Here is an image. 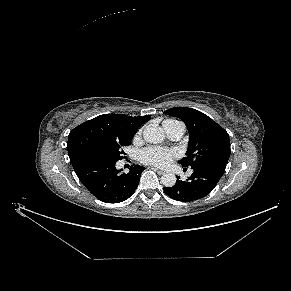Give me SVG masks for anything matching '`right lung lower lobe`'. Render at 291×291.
<instances>
[{"instance_id": "1", "label": "right lung lower lobe", "mask_w": 291, "mask_h": 291, "mask_svg": "<svg viewBox=\"0 0 291 291\" xmlns=\"http://www.w3.org/2000/svg\"><path fill=\"white\" fill-rule=\"evenodd\" d=\"M117 161L97 154H86L71 161L82 184L99 200L119 203L128 199L136 190L142 171L132 165L129 173L115 167Z\"/></svg>"}]
</instances>
